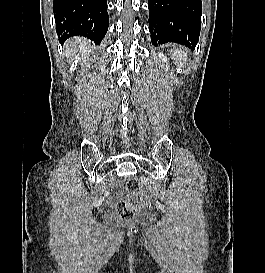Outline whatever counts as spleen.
<instances>
[{"label":"spleen","mask_w":265,"mask_h":273,"mask_svg":"<svg viewBox=\"0 0 265 273\" xmlns=\"http://www.w3.org/2000/svg\"><path fill=\"white\" fill-rule=\"evenodd\" d=\"M172 58L178 67H183L187 61V54L181 49L172 50Z\"/></svg>","instance_id":"obj_1"}]
</instances>
